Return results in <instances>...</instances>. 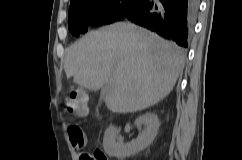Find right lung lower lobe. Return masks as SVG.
Here are the masks:
<instances>
[{
  "label": "right lung lower lobe",
  "instance_id": "98d812e1",
  "mask_svg": "<svg viewBox=\"0 0 242 160\" xmlns=\"http://www.w3.org/2000/svg\"><path fill=\"white\" fill-rule=\"evenodd\" d=\"M198 7L199 0H142L122 19H128L187 47V38Z\"/></svg>",
  "mask_w": 242,
  "mask_h": 160
}]
</instances>
